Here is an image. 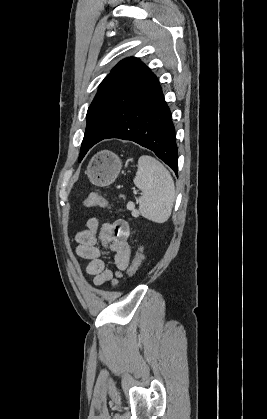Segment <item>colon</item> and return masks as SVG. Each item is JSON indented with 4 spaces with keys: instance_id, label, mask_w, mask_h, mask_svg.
<instances>
[{
    "instance_id": "5ec220e1",
    "label": "colon",
    "mask_w": 267,
    "mask_h": 419,
    "mask_svg": "<svg viewBox=\"0 0 267 419\" xmlns=\"http://www.w3.org/2000/svg\"><path fill=\"white\" fill-rule=\"evenodd\" d=\"M83 205L85 207H102V208H111V203L103 196L99 194H90L84 201ZM143 261V251L139 247L135 253V256L131 262V265L128 269L129 276H134L138 271L141 263Z\"/></svg>"
}]
</instances>
